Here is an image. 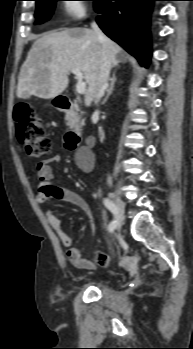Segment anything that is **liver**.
<instances>
[{
    "label": "liver",
    "mask_w": 193,
    "mask_h": 349,
    "mask_svg": "<svg viewBox=\"0 0 193 349\" xmlns=\"http://www.w3.org/2000/svg\"><path fill=\"white\" fill-rule=\"evenodd\" d=\"M107 45L111 67H116L121 61L122 50L109 38ZM101 50L102 43L97 34L88 28L43 34L33 43L20 69L17 97L55 98L67 88L69 73L79 70L88 85L85 105L89 106L98 84Z\"/></svg>",
    "instance_id": "6515ba94"
}]
</instances>
